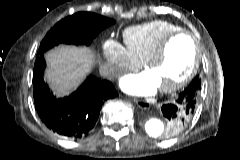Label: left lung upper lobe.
Returning a JSON list of instances; mask_svg holds the SVG:
<instances>
[{
    "mask_svg": "<svg viewBox=\"0 0 240 160\" xmlns=\"http://www.w3.org/2000/svg\"><path fill=\"white\" fill-rule=\"evenodd\" d=\"M191 84H194L196 91L198 92L200 90V85H201V81L199 79V76H196L195 79L192 81ZM192 118V117H191ZM191 120V119H190ZM188 120V122L190 121ZM187 123H183V124H179V125H174L173 122L169 121V127L172 131H180L182 130L187 124Z\"/></svg>",
    "mask_w": 240,
    "mask_h": 160,
    "instance_id": "5c2ea615",
    "label": "left lung upper lobe"
}]
</instances>
